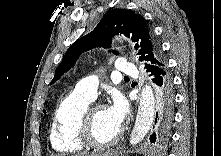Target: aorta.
<instances>
[{
  "mask_svg": "<svg viewBox=\"0 0 221 156\" xmlns=\"http://www.w3.org/2000/svg\"><path fill=\"white\" fill-rule=\"evenodd\" d=\"M151 98L152 91L148 90L145 94L140 114L131 133L130 144L133 146L144 139L152 126L153 118Z\"/></svg>",
  "mask_w": 221,
  "mask_h": 156,
  "instance_id": "762f6f07",
  "label": "aorta"
}]
</instances>
